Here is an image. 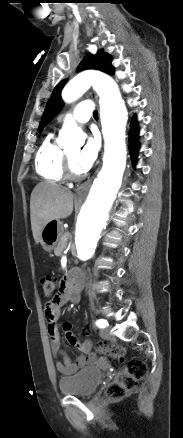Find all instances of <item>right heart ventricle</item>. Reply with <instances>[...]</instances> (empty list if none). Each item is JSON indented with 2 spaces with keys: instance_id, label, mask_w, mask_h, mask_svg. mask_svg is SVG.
Here are the masks:
<instances>
[{
  "instance_id": "e07e8e85",
  "label": "right heart ventricle",
  "mask_w": 183,
  "mask_h": 438,
  "mask_svg": "<svg viewBox=\"0 0 183 438\" xmlns=\"http://www.w3.org/2000/svg\"><path fill=\"white\" fill-rule=\"evenodd\" d=\"M63 150L54 142L53 136H48L41 144L36 154V170L45 180L61 182L64 180Z\"/></svg>"
}]
</instances>
